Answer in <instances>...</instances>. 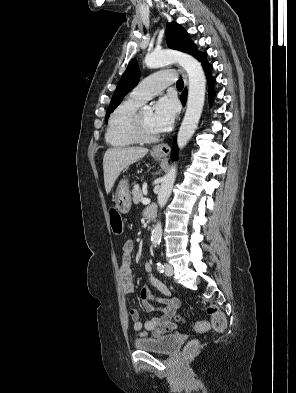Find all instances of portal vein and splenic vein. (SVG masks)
<instances>
[{
    "label": "portal vein and splenic vein",
    "instance_id": "obj_1",
    "mask_svg": "<svg viewBox=\"0 0 296 393\" xmlns=\"http://www.w3.org/2000/svg\"><path fill=\"white\" fill-rule=\"evenodd\" d=\"M142 200H143V202H148L149 201V199H147V198H143Z\"/></svg>",
    "mask_w": 296,
    "mask_h": 393
}]
</instances>
